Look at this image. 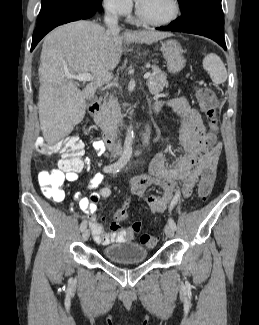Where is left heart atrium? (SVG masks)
Here are the masks:
<instances>
[{
	"label": "left heart atrium",
	"mask_w": 259,
	"mask_h": 325,
	"mask_svg": "<svg viewBox=\"0 0 259 325\" xmlns=\"http://www.w3.org/2000/svg\"><path fill=\"white\" fill-rule=\"evenodd\" d=\"M139 3L143 2L144 0H137Z\"/></svg>",
	"instance_id": "obj_1"
}]
</instances>
